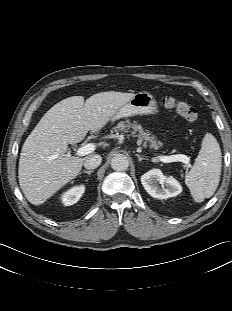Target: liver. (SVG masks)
I'll list each match as a JSON object with an SVG mask.
<instances>
[{
    "instance_id": "1",
    "label": "liver",
    "mask_w": 232,
    "mask_h": 311,
    "mask_svg": "<svg viewBox=\"0 0 232 311\" xmlns=\"http://www.w3.org/2000/svg\"><path fill=\"white\" fill-rule=\"evenodd\" d=\"M135 94L100 92L84 103L72 96L51 107L25 140L20 153L18 178L26 199L41 205L80 172L84 158L66 153L68 144L101 130Z\"/></svg>"
}]
</instances>
